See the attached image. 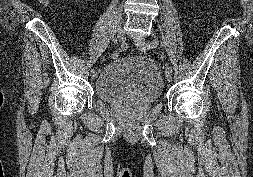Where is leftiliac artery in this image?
Segmentation results:
<instances>
[{
  "mask_svg": "<svg viewBox=\"0 0 253 177\" xmlns=\"http://www.w3.org/2000/svg\"><path fill=\"white\" fill-rule=\"evenodd\" d=\"M158 45H159V41L154 39L149 43H145L144 48L149 50V49L156 48ZM165 72H172V68L170 66H167Z\"/></svg>",
  "mask_w": 253,
  "mask_h": 177,
  "instance_id": "44dca946",
  "label": "left iliac artery"
}]
</instances>
